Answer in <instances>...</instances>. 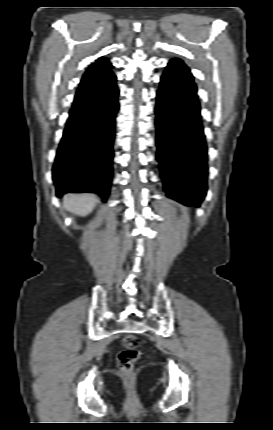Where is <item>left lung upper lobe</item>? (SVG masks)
Masks as SVG:
<instances>
[{"label": "left lung upper lobe", "mask_w": 273, "mask_h": 430, "mask_svg": "<svg viewBox=\"0 0 273 430\" xmlns=\"http://www.w3.org/2000/svg\"><path fill=\"white\" fill-rule=\"evenodd\" d=\"M169 70L187 72V78L186 80H184V86L190 90L197 91V86L194 83L193 76L190 73V70L188 69V67L183 63V61L177 58L170 60L164 73L168 72Z\"/></svg>", "instance_id": "1"}]
</instances>
